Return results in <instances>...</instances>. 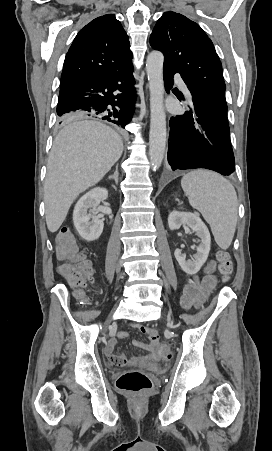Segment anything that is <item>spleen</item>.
Here are the masks:
<instances>
[{"label":"spleen","mask_w":272,"mask_h":451,"mask_svg":"<svg viewBox=\"0 0 272 451\" xmlns=\"http://www.w3.org/2000/svg\"><path fill=\"white\" fill-rule=\"evenodd\" d=\"M181 186L189 204L210 224L216 243L228 249L237 224L238 200L235 188L220 174L194 170L183 176Z\"/></svg>","instance_id":"spleen-1"}]
</instances>
